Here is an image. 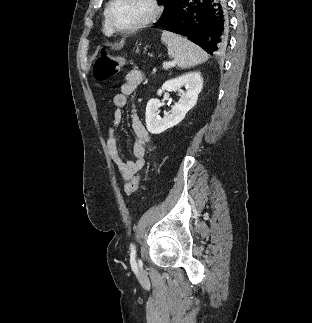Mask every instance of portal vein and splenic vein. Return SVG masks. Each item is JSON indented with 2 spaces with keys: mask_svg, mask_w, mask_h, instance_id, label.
Returning a JSON list of instances; mask_svg holds the SVG:
<instances>
[{
  "mask_svg": "<svg viewBox=\"0 0 312 323\" xmlns=\"http://www.w3.org/2000/svg\"><path fill=\"white\" fill-rule=\"evenodd\" d=\"M170 66H174V62H163V68H170Z\"/></svg>",
  "mask_w": 312,
  "mask_h": 323,
  "instance_id": "18ae733b",
  "label": "portal vein and splenic vein"
}]
</instances>
